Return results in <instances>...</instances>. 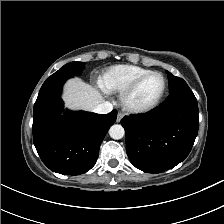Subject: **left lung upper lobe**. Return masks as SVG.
<instances>
[{
	"instance_id": "5c2ea615",
	"label": "left lung upper lobe",
	"mask_w": 224,
	"mask_h": 224,
	"mask_svg": "<svg viewBox=\"0 0 224 224\" xmlns=\"http://www.w3.org/2000/svg\"><path fill=\"white\" fill-rule=\"evenodd\" d=\"M167 74H168V79H169V88H170L171 92H173L179 88H182L184 86H188L183 79L172 75L168 71H167Z\"/></svg>"
}]
</instances>
